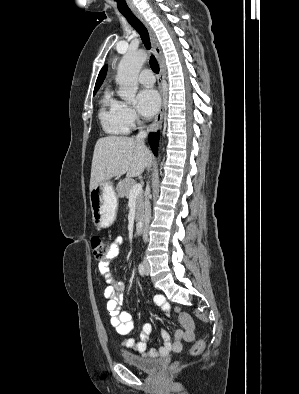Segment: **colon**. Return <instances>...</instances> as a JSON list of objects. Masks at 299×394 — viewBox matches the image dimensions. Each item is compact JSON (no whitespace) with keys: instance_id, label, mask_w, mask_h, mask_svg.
I'll return each instance as SVG.
<instances>
[{"instance_id":"obj_1","label":"colon","mask_w":299,"mask_h":394,"mask_svg":"<svg viewBox=\"0 0 299 394\" xmlns=\"http://www.w3.org/2000/svg\"><path fill=\"white\" fill-rule=\"evenodd\" d=\"M90 246L95 259L104 260L108 256L110 245L104 238L100 236H92L90 239ZM204 347L205 342L203 340H198L192 345L190 349L191 355H199ZM173 366H178V363H175Z\"/></svg>"}]
</instances>
